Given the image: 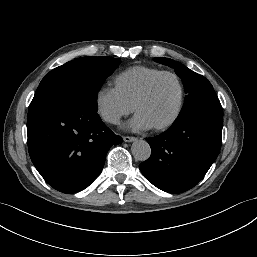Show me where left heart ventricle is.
Listing matches in <instances>:
<instances>
[{
    "instance_id": "b2bd125f",
    "label": "left heart ventricle",
    "mask_w": 257,
    "mask_h": 257,
    "mask_svg": "<svg viewBox=\"0 0 257 257\" xmlns=\"http://www.w3.org/2000/svg\"><path fill=\"white\" fill-rule=\"evenodd\" d=\"M178 98L177 82L173 77L165 76L156 83L148 98L138 105L136 112L144 115L155 126L172 116Z\"/></svg>"
}]
</instances>
